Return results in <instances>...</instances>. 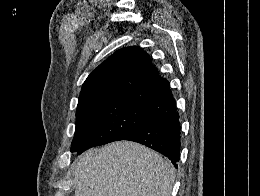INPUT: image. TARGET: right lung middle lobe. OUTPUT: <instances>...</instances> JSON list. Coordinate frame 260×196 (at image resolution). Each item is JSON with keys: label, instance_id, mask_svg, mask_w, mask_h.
<instances>
[{"label": "right lung middle lobe", "instance_id": "right-lung-middle-lobe-1", "mask_svg": "<svg viewBox=\"0 0 260 196\" xmlns=\"http://www.w3.org/2000/svg\"><path fill=\"white\" fill-rule=\"evenodd\" d=\"M153 117L141 105L130 102L78 106L71 151L117 141Z\"/></svg>", "mask_w": 260, "mask_h": 196}]
</instances>
